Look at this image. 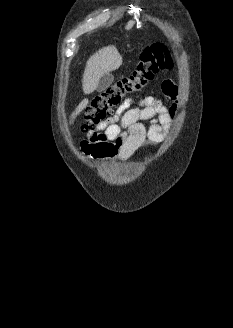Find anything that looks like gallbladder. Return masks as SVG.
<instances>
[{
  "label": "gallbladder",
  "mask_w": 233,
  "mask_h": 328,
  "mask_svg": "<svg viewBox=\"0 0 233 328\" xmlns=\"http://www.w3.org/2000/svg\"><path fill=\"white\" fill-rule=\"evenodd\" d=\"M113 80H114V77H113L112 74H110V73L104 74V75L100 78L96 90H97L98 92L105 91V90H106L107 88H109L110 85L113 83Z\"/></svg>",
  "instance_id": "bac80fb5"
}]
</instances>
